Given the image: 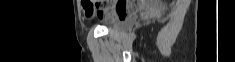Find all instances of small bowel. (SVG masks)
<instances>
[{
    "label": "small bowel",
    "instance_id": "small-bowel-1",
    "mask_svg": "<svg viewBox=\"0 0 235 62\" xmlns=\"http://www.w3.org/2000/svg\"><path fill=\"white\" fill-rule=\"evenodd\" d=\"M118 5L125 6L126 8H131V7H133L134 4L124 2V3H118L116 6L115 5H109V6L105 7L104 9L100 10L97 13L98 18L103 19V20L116 19L117 18L116 9H117ZM83 11H84L85 17H87V18L93 16V14H94V9L91 5H87V4L84 5L83 6Z\"/></svg>",
    "mask_w": 235,
    "mask_h": 62
}]
</instances>
